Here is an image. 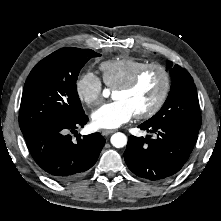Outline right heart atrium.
Wrapping results in <instances>:
<instances>
[{"label": "right heart atrium", "mask_w": 221, "mask_h": 221, "mask_svg": "<svg viewBox=\"0 0 221 221\" xmlns=\"http://www.w3.org/2000/svg\"><path fill=\"white\" fill-rule=\"evenodd\" d=\"M75 91L80 101L87 106H95L103 98L104 86L96 74L87 71L79 75L76 79Z\"/></svg>", "instance_id": "1"}]
</instances>
